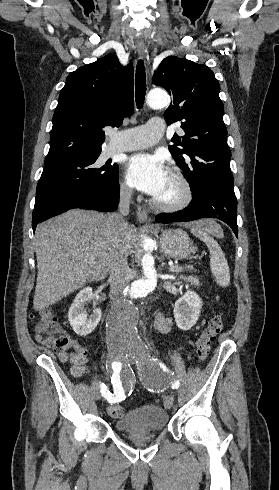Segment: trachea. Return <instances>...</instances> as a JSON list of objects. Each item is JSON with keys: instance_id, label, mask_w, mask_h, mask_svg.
I'll return each mask as SVG.
<instances>
[{"instance_id": "obj_1", "label": "trachea", "mask_w": 279, "mask_h": 490, "mask_svg": "<svg viewBox=\"0 0 279 490\" xmlns=\"http://www.w3.org/2000/svg\"><path fill=\"white\" fill-rule=\"evenodd\" d=\"M146 94V73L144 68V62L139 60L136 68V88L135 98L137 107L140 109L143 106L144 98Z\"/></svg>"}]
</instances>
